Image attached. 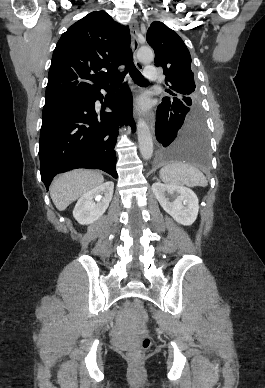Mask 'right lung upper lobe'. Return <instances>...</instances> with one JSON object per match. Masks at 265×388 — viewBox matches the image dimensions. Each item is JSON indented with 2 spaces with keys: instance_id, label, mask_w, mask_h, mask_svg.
<instances>
[{
  "instance_id": "obj_1",
  "label": "right lung upper lobe",
  "mask_w": 265,
  "mask_h": 388,
  "mask_svg": "<svg viewBox=\"0 0 265 388\" xmlns=\"http://www.w3.org/2000/svg\"><path fill=\"white\" fill-rule=\"evenodd\" d=\"M129 30L95 11L62 34L53 52L46 100L74 97L108 86L126 62Z\"/></svg>"
}]
</instances>
